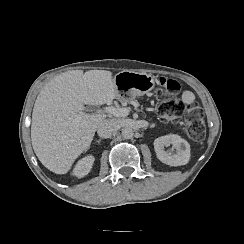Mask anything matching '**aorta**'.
<instances>
[{
	"mask_svg": "<svg viewBox=\"0 0 244 244\" xmlns=\"http://www.w3.org/2000/svg\"><path fill=\"white\" fill-rule=\"evenodd\" d=\"M122 136L125 139H131L134 136V131L131 128L125 127L122 129Z\"/></svg>",
	"mask_w": 244,
	"mask_h": 244,
	"instance_id": "aorta-1",
	"label": "aorta"
}]
</instances>
